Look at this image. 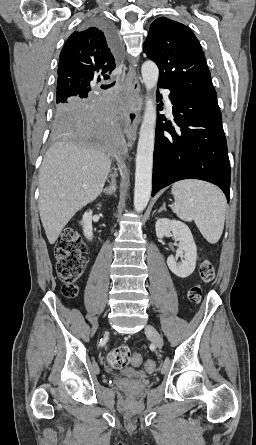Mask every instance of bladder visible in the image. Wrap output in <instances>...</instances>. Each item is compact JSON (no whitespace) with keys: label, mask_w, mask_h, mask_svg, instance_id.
Returning <instances> with one entry per match:
<instances>
[{"label":"bladder","mask_w":256,"mask_h":445,"mask_svg":"<svg viewBox=\"0 0 256 445\" xmlns=\"http://www.w3.org/2000/svg\"><path fill=\"white\" fill-rule=\"evenodd\" d=\"M121 374L125 377L134 378V379H145L147 377L146 374L142 373L139 370L132 369V368L123 369L121 371Z\"/></svg>","instance_id":"bladder-1"}]
</instances>
